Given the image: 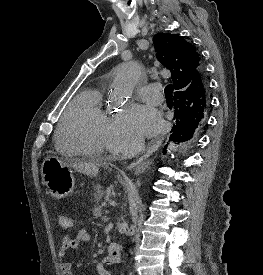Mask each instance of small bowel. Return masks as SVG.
Returning a JSON list of instances; mask_svg holds the SVG:
<instances>
[{"instance_id": "1", "label": "small bowel", "mask_w": 263, "mask_h": 275, "mask_svg": "<svg viewBox=\"0 0 263 275\" xmlns=\"http://www.w3.org/2000/svg\"><path fill=\"white\" fill-rule=\"evenodd\" d=\"M91 237L87 230L81 229L74 237L65 236L62 240V244L59 252V264L62 275H73L72 265L67 261V253L69 251H76L82 243H88ZM101 275H111V273L105 268L99 269Z\"/></svg>"}]
</instances>
